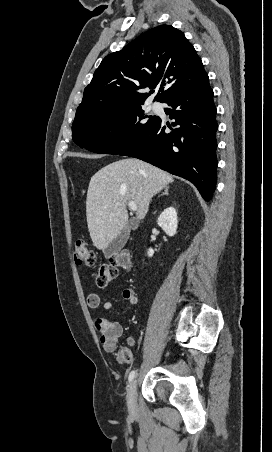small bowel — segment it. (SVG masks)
Instances as JSON below:
<instances>
[{
  "label": "small bowel",
  "instance_id": "obj_1",
  "mask_svg": "<svg viewBox=\"0 0 272 452\" xmlns=\"http://www.w3.org/2000/svg\"><path fill=\"white\" fill-rule=\"evenodd\" d=\"M122 298L127 301L130 305L136 306L139 302L135 291L132 288H126L122 291ZM87 306L91 310H96L101 306V298L98 293L92 292L87 296ZM103 309L108 311L113 308V303L107 301L102 305ZM95 328L101 332V343L103 347L107 350L113 349L117 344L119 338L122 336L123 328L120 323L110 321L105 317H95L94 319Z\"/></svg>",
  "mask_w": 272,
  "mask_h": 452
}]
</instances>
